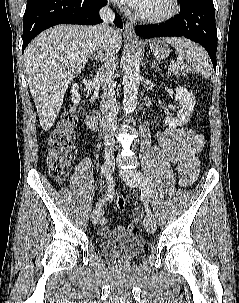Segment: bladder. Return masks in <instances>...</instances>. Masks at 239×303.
Segmentation results:
<instances>
[{"label": "bladder", "mask_w": 239, "mask_h": 303, "mask_svg": "<svg viewBox=\"0 0 239 303\" xmlns=\"http://www.w3.org/2000/svg\"><path fill=\"white\" fill-rule=\"evenodd\" d=\"M100 249L107 257L130 260L144 250V241L139 233H126L101 241Z\"/></svg>", "instance_id": "31cf9c89"}]
</instances>
